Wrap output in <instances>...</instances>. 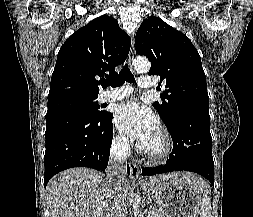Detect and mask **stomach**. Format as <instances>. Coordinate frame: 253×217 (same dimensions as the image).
Wrapping results in <instances>:
<instances>
[{
	"mask_svg": "<svg viewBox=\"0 0 253 217\" xmlns=\"http://www.w3.org/2000/svg\"><path fill=\"white\" fill-rule=\"evenodd\" d=\"M142 189L158 204L164 217H198L201 207V188L179 179L166 178L157 183L144 182Z\"/></svg>",
	"mask_w": 253,
	"mask_h": 217,
	"instance_id": "obj_1",
	"label": "stomach"
}]
</instances>
